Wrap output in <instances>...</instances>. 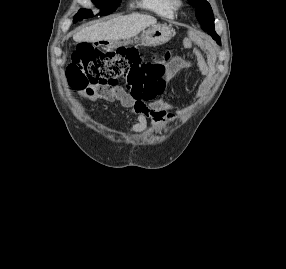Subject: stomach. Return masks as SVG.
I'll return each mask as SVG.
<instances>
[{"label": "stomach", "mask_w": 286, "mask_h": 269, "mask_svg": "<svg viewBox=\"0 0 286 269\" xmlns=\"http://www.w3.org/2000/svg\"><path fill=\"white\" fill-rule=\"evenodd\" d=\"M172 37V30L164 24H156L143 30L140 37H136V41H140L144 46H158L168 42ZM113 45V43H110Z\"/></svg>", "instance_id": "1"}]
</instances>
